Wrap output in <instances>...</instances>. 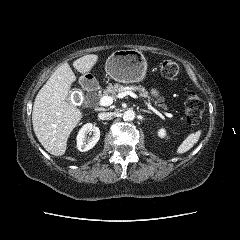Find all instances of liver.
Returning a JSON list of instances; mask_svg holds the SVG:
<instances>
[{"label":"liver","instance_id":"obj_1","mask_svg":"<svg viewBox=\"0 0 240 240\" xmlns=\"http://www.w3.org/2000/svg\"><path fill=\"white\" fill-rule=\"evenodd\" d=\"M95 54L85 55L73 62L74 68L87 74L98 61ZM76 76L66 62L59 66L38 92L32 111L33 130L41 145L50 154L62 156L70 133L82 119V112L66 101Z\"/></svg>","mask_w":240,"mask_h":240}]
</instances>
